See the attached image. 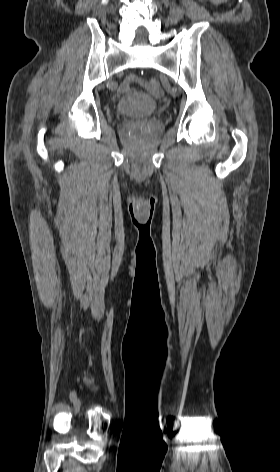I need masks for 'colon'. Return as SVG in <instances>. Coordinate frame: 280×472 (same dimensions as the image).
Returning <instances> with one entry per match:
<instances>
[{
	"label": "colon",
	"mask_w": 280,
	"mask_h": 472,
	"mask_svg": "<svg viewBox=\"0 0 280 472\" xmlns=\"http://www.w3.org/2000/svg\"><path fill=\"white\" fill-rule=\"evenodd\" d=\"M147 86L149 90L155 94L160 93V84L156 79H151L148 81Z\"/></svg>",
	"instance_id": "1"
}]
</instances>
